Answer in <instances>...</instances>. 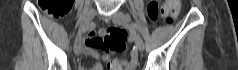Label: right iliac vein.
Wrapping results in <instances>:
<instances>
[{"mask_svg":"<svg viewBox=\"0 0 238 70\" xmlns=\"http://www.w3.org/2000/svg\"><path fill=\"white\" fill-rule=\"evenodd\" d=\"M96 10L95 9H91L81 20L80 22V27H79V34L75 40L74 43V52L76 55L80 54L81 52V37H82V33L86 30V28H88V26L90 25L91 21L93 20V18L96 15Z\"/></svg>","mask_w":238,"mask_h":70,"instance_id":"1","label":"right iliac vein"}]
</instances>
